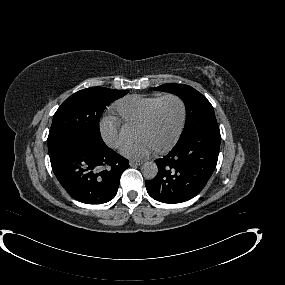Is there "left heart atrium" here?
Masks as SVG:
<instances>
[{
    "label": "left heart atrium",
    "mask_w": 285,
    "mask_h": 285,
    "mask_svg": "<svg viewBox=\"0 0 285 285\" xmlns=\"http://www.w3.org/2000/svg\"><path fill=\"white\" fill-rule=\"evenodd\" d=\"M154 149V145L145 138H139L122 148V153L133 159H142L147 157Z\"/></svg>",
    "instance_id": "left-heart-atrium-1"
}]
</instances>
